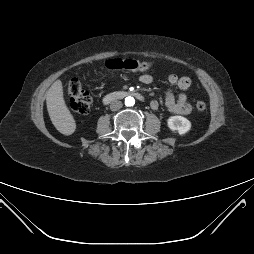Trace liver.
<instances>
[{"mask_svg":"<svg viewBox=\"0 0 254 254\" xmlns=\"http://www.w3.org/2000/svg\"><path fill=\"white\" fill-rule=\"evenodd\" d=\"M46 104L48 114L55 128L63 135H71L76 129V122L65 104L63 86L55 81L47 91Z\"/></svg>","mask_w":254,"mask_h":254,"instance_id":"obj_1","label":"liver"}]
</instances>
